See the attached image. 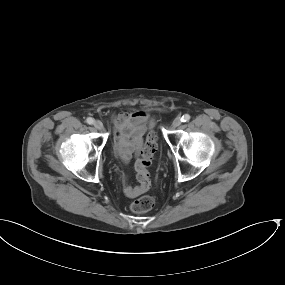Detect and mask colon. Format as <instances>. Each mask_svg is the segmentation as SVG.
Returning a JSON list of instances; mask_svg holds the SVG:
<instances>
[{
	"mask_svg": "<svg viewBox=\"0 0 285 285\" xmlns=\"http://www.w3.org/2000/svg\"><path fill=\"white\" fill-rule=\"evenodd\" d=\"M157 149V137L155 133L149 132L146 135L141 158L136 162V177L139 182V188L146 191L150 186V175L148 167ZM155 198L152 195H145L133 201L130 209L134 213H145L154 207Z\"/></svg>",
	"mask_w": 285,
	"mask_h": 285,
	"instance_id": "obj_1",
	"label": "colon"
}]
</instances>
